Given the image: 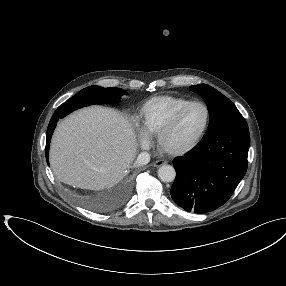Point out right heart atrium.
Segmentation results:
<instances>
[{"mask_svg":"<svg viewBox=\"0 0 286 286\" xmlns=\"http://www.w3.org/2000/svg\"><path fill=\"white\" fill-rule=\"evenodd\" d=\"M141 144H142V146L146 147L149 144V138L147 136L143 135L141 138Z\"/></svg>","mask_w":286,"mask_h":286,"instance_id":"obj_1","label":"right heart atrium"}]
</instances>
